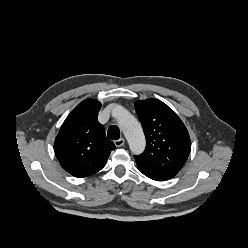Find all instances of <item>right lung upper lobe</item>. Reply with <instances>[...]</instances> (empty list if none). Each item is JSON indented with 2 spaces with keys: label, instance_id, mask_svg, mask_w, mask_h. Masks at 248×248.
I'll return each instance as SVG.
<instances>
[{
  "label": "right lung upper lobe",
  "instance_id": "cb5924a9",
  "mask_svg": "<svg viewBox=\"0 0 248 248\" xmlns=\"http://www.w3.org/2000/svg\"><path fill=\"white\" fill-rule=\"evenodd\" d=\"M101 103L86 99L78 104L62 124L54 142L56 157L64 170L83 178L101 170L115 149L98 122Z\"/></svg>",
  "mask_w": 248,
  "mask_h": 248
}]
</instances>
